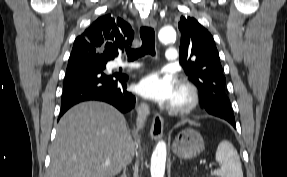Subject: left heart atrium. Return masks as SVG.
I'll return each instance as SVG.
<instances>
[{
  "mask_svg": "<svg viewBox=\"0 0 287 177\" xmlns=\"http://www.w3.org/2000/svg\"><path fill=\"white\" fill-rule=\"evenodd\" d=\"M136 90L146 99L165 103L171 102L173 99L177 91V84L171 75L154 72L141 78Z\"/></svg>",
  "mask_w": 287,
  "mask_h": 177,
  "instance_id": "obj_1",
  "label": "left heart atrium"
}]
</instances>
